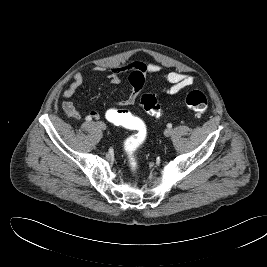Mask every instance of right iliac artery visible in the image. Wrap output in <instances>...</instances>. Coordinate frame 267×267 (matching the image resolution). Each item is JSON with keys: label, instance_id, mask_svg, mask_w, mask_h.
<instances>
[{"label": "right iliac artery", "instance_id": "obj_1", "mask_svg": "<svg viewBox=\"0 0 267 267\" xmlns=\"http://www.w3.org/2000/svg\"><path fill=\"white\" fill-rule=\"evenodd\" d=\"M86 120H87V121H91V120H92V118H86Z\"/></svg>", "mask_w": 267, "mask_h": 267}]
</instances>
